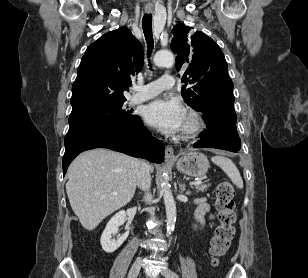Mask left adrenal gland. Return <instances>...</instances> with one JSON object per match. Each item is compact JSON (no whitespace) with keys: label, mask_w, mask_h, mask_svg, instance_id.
I'll list each match as a JSON object with an SVG mask.
<instances>
[{"label":"left adrenal gland","mask_w":308,"mask_h":278,"mask_svg":"<svg viewBox=\"0 0 308 278\" xmlns=\"http://www.w3.org/2000/svg\"><path fill=\"white\" fill-rule=\"evenodd\" d=\"M179 189L183 193L185 191V184L179 183ZM185 194L186 195H190L191 192L190 191H186Z\"/></svg>","instance_id":"obj_1"}]
</instances>
